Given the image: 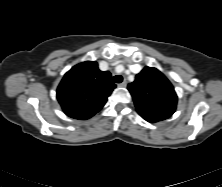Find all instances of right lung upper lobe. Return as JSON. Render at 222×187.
I'll return each mask as SVG.
<instances>
[{
  "label": "right lung upper lobe",
  "mask_w": 222,
  "mask_h": 187,
  "mask_svg": "<svg viewBox=\"0 0 222 187\" xmlns=\"http://www.w3.org/2000/svg\"><path fill=\"white\" fill-rule=\"evenodd\" d=\"M116 87L108 71L96 62L86 61L71 68L57 88V99L64 113L85 120L96 114Z\"/></svg>",
  "instance_id": "cb5924a9"
}]
</instances>
